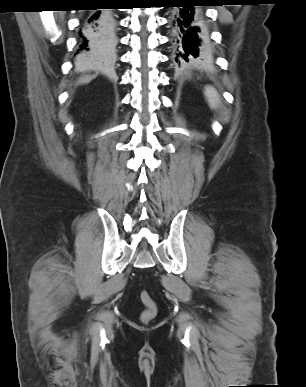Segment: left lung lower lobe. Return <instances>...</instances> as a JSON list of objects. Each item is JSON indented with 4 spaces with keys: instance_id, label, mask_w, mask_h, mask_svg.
<instances>
[{
    "instance_id": "0a47b994",
    "label": "left lung lower lobe",
    "mask_w": 306,
    "mask_h": 387,
    "mask_svg": "<svg viewBox=\"0 0 306 387\" xmlns=\"http://www.w3.org/2000/svg\"><path fill=\"white\" fill-rule=\"evenodd\" d=\"M172 59L178 66L203 60L209 48L204 14L197 6H208L206 0H169Z\"/></svg>"
}]
</instances>
